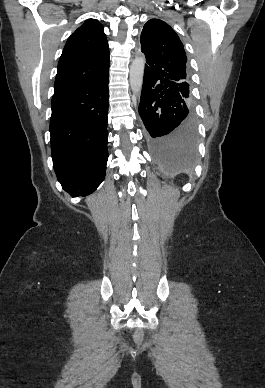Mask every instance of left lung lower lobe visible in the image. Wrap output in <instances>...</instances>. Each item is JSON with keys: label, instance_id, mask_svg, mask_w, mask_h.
Here are the masks:
<instances>
[{"label": "left lung lower lobe", "instance_id": "0a47b994", "mask_svg": "<svg viewBox=\"0 0 265 388\" xmlns=\"http://www.w3.org/2000/svg\"><path fill=\"white\" fill-rule=\"evenodd\" d=\"M180 85L144 70L139 114L155 161L165 171L191 169L196 157L195 114Z\"/></svg>", "mask_w": 265, "mask_h": 388}]
</instances>
